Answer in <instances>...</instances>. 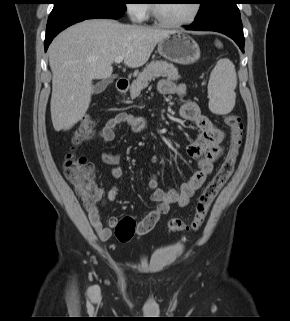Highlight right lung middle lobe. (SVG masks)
<instances>
[{
    "instance_id": "right-lung-middle-lobe-1",
    "label": "right lung middle lobe",
    "mask_w": 290,
    "mask_h": 321,
    "mask_svg": "<svg viewBox=\"0 0 290 321\" xmlns=\"http://www.w3.org/2000/svg\"><path fill=\"white\" fill-rule=\"evenodd\" d=\"M126 0H53L52 15L60 13L97 14L124 12Z\"/></svg>"
}]
</instances>
